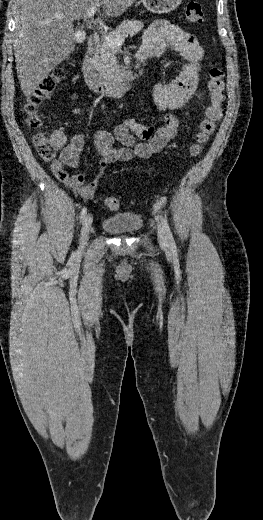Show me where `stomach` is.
<instances>
[{
	"mask_svg": "<svg viewBox=\"0 0 263 520\" xmlns=\"http://www.w3.org/2000/svg\"><path fill=\"white\" fill-rule=\"evenodd\" d=\"M144 7L151 13L163 14L175 10L182 0H141Z\"/></svg>",
	"mask_w": 263,
	"mask_h": 520,
	"instance_id": "0dacf381",
	"label": "stomach"
}]
</instances>
